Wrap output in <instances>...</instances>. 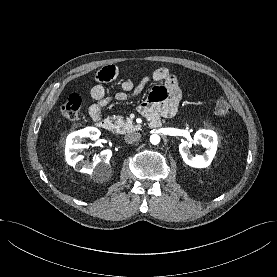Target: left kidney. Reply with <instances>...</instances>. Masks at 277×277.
Listing matches in <instances>:
<instances>
[{
    "instance_id": "left-kidney-1",
    "label": "left kidney",
    "mask_w": 277,
    "mask_h": 277,
    "mask_svg": "<svg viewBox=\"0 0 277 277\" xmlns=\"http://www.w3.org/2000/svg\"><path fill=\"white\" fill-rule=\"evenodd\" d=\"M201 144L206 151L202 155L193 156L190 152L192 144ZM218 145L217 135L211 130H199L193 141H184L179 145V152L183 161L194 168H206L212 162Z\"/></svg>"
}]
</instances>
